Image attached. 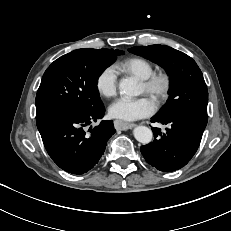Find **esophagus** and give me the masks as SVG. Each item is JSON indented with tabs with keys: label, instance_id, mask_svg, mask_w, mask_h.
I'll use <instances>...</instances> for the list:
<instances>
[{
	"label": "esophagus",
	"instance_id": "1",
	"mask_svg": "<svg viewBox=\"0 0 231 231\" xmlns=\"http://www.w3.org/2000/svg\"><path fill=\"white\" fill-rule=\"evenodd\" d=\"M114 126L117 130H128L135 127L134 123L115 121Z\"/></svg>",
	"mask_w": 231,
	"mask_h": 231
}]
</instances>
